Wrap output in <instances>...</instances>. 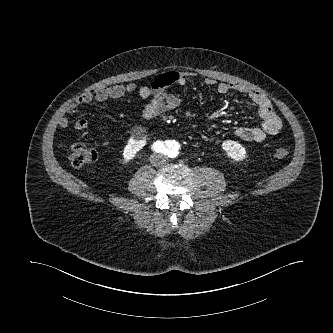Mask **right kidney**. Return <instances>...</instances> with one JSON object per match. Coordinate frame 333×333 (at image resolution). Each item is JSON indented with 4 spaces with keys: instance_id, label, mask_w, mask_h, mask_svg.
<instances>
[{
    "instance_id": "ca27d5eb",
    "label": "right kidney",
    "mask_w": 333,
    "mask_h": 333,
    "mask_svg": "<svg viewBox=\"0 0 333 333\" xmlns=\"http://www.w3.org/2000/svg\"><path fill=\"white\" fill-rule=\"evenodd\" d=\"M146 141L144 138H129L126 146L123 149V159L122 163L124 165L128 164L134 157L137 152L143 148Z\"/></svg>"
}]
</instances>
